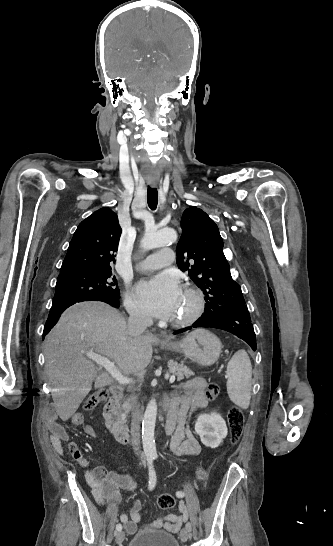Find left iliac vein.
I'll return each mask as SVG.
<instances>
[{"mask_svg":"<svg viewBox=\"0 0 333 546\" xmlns=\"http://www.w3.org/2000/svg\"><path fill=\"white\" fill-rule=\"evenodd\" d=\"M190 525L187 524L182 530H181V533H180V537H181V540L186 542L188 539L191 538V533H190Z\"/></svg>","mask_w":333,"mask_h":546,"instance_id":"1","label":"left iliac vein"}]
</instances>
